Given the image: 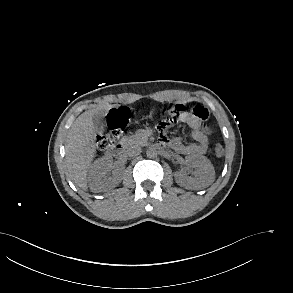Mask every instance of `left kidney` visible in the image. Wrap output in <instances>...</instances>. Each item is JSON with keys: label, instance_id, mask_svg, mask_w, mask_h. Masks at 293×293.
Instances as JSON below:
<instances>
[{"label": "left kidney", "instance_id": "5707ae66", "mask_svg": "<svg viewBox=\"0 0 293 293\" xmlns=\"http://www.w3.org/2000/svg\"><path fill=\"white\" fill-rule=\"evenodd\" d=\"M187 165L196 168L194 178L187 177L183 172H175L176 182L181 186L192 185L195 189L208 187L215 179L214 167L204 156H188L185 159Z\"/></svg>", "mask_w": 293, "mask_h": 293}]
</instances>
